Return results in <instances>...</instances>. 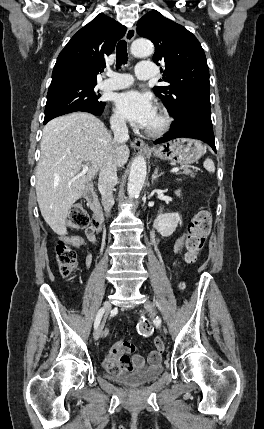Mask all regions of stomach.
<instances>
[{"label": "stomach", "instance_id": "stomach-1", "mask_svg": "<svg viewBox=\"0 0 264 429\" xmlns=\"http://www.w3.org/2000/svg\"><path fill=\"white\" fill-rule=\"evenodd\" d=\"M152 153L156 158L161 160L191 164L202 156L204 147L199 140L177 138L155 148Z\"/></svg>", "mask_w": 264, "mask_h": 429}]
</instances>
